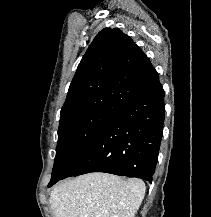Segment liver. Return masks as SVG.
<instances>
[{
    "mask_svg": "<svg viewBox=\"0 0 211 217\" xmlns=\"http://www.w3.org/2000/svg\"><path fill=\"white\" fill-rule=\"evenodd\" d=\"M145 190L140 179L89 173L55 186L50 205L54 217H135Z\"/></svg>",
    "mask_w": 211,
    "mask_h": 217,
    "instance_id": "1",
    "label": "liver"
}]
</instances>
